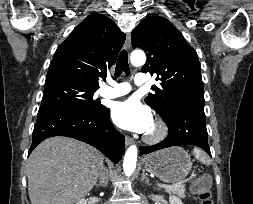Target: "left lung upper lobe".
Listing matches in <instances>:
<instances>
[{"instance_id":"1","label":"left lung upper lobe","mask_w":253,"mask_h":204,"mask_svg":"<svg viewBox=\"0 0 253 204\" xmlns=\"http://www.w3.org/2000/svg\"><path fill=\"white\" fill-rule=\"evenodd\" d=\"M131 42L147 54L142 71L157 75L160 87L145 98L164 120L178 109L193 104L204 105V88L196 51L170 21L147 17L133 30Z\"/></svg>"}]
</instances>
